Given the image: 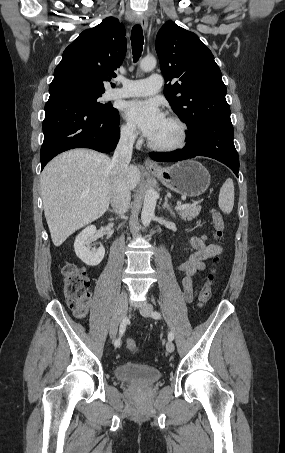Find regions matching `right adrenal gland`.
I'll return each mask as SVG.
<instances>
[{
	"label": "right adrenal gland",
	"instance_id": "right-adrenal-gland-1",
	"mask_svg": "<svg viewBox=\"0 0 285 453\" xmlns=\"http://www.w3.org/2000/svg\"><path fill=\"white\" fill-rule=\"evenodd\" d=\"M108 211H109L110 213H113V212H114V210H112V209H109Z\"/></svg>",
	"mask_w": 285,
	"mask_h": 453
}]
</instances>
